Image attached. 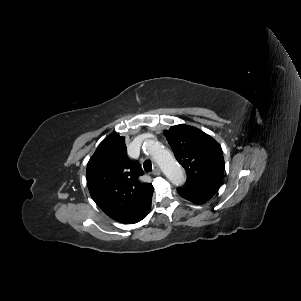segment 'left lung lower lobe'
Returning <instances> with one entry per match:
<instances>
[{"instance_id": "1", "label": "left lung lower lobe", "mask_w": 301, "mask_h": 301, "mask_svg": "<svg viewBox=\"0 0 301 301\" xmlns=\"http://www.w3.org/2000/svg\"><path fill=\"white\" fill-rule=\"evenodd\" d=\"M177 192L183 198L198 205L204 204L209 199H211L215 194L208 191L195 190V189H190L185 187H178Z\"/></svg>"}]
</instances>
